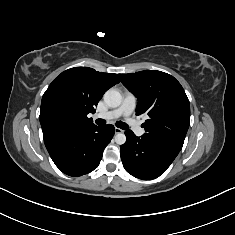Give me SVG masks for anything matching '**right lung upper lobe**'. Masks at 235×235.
<instances>
[{
  "mask_svg": "<svg viewBox=\"0 0 235 235\" xmlns=\"http://www.w3.org/2000/svg\"><path fill=\"white\" fill-rule=\"evenodd\" d=\"M117 74L75 67L62 72L42 97L40 123L44 141L67 131L95 126V112L103 94L119 83Z\"/></svg>",
  "mask_w": 235,
  "mask_h": 235,
  "instance_id": "obj_1",
  "label": "right lung upper lobe"
}]
</instances>
